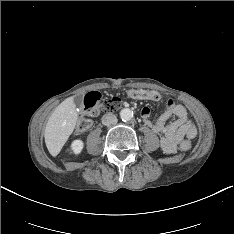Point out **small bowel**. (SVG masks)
Segmentation results:
<instances>
[{
  "label": "small bowel",
  "mask_w": 234,
  "mask_h": 234,
  "mask_svg": "<svg viewBox=\"0 0 234 234\" xmlns=\"http://www.w3.org/2000/svg\"><path fill=\"white\" fill-rule=\"evenodd\" d=\"M141 117L146 126L162 135L161 147L166 153H174L184 137L192 139L197 135L196 127L188 119L185 107L177 104L174 99L168 100L166 109L154 122L150 120V110L147 107L142 108ZM171 117L174 120L168 122Z\"/></svg>",
  "instance_id": "small-bowel-1"
}]
</instances>
